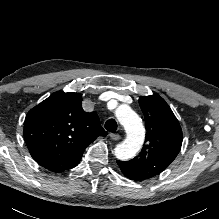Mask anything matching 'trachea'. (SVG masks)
<instances>
[{"mask_svg":"<svg viewBox=\"0 0 219 219\" xmlns=\"http://www.w3.org/2000/svg\"><path fill=\"white\" fill-rule=\"evenodd\" d=\"M105 128L110 131H116L117 122L114 119H109L105 122Z\"/></svg>","mask_w":219,"mask_h":219,"instance_id":"obj_1","label":"trachea"}]
</instances>
